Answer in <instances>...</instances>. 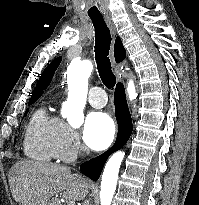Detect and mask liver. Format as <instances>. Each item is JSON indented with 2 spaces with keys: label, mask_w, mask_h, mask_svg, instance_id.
<instances>
[{
  "label": "liver",
  "mask_w": 199,
  "mask_h": 205,
  "mask_svg": "<svg viewBox=\"0 0 199 205\" xmlns=\"http://www.w3.org/2000/svg\"><path fill=\"white\" fill-rule=\"evenodd\" d=\"M9 184L20 205H60L58 193L63 192V198L69 202L84 200L88 193L87 180L71 173L69 167L32 160L12 166Z\"/></svg>",
  "instance_id": "obj_1"
}]
</instances>
